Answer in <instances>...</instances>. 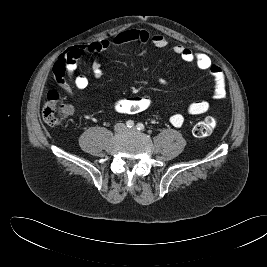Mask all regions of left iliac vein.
<instances>
[{
	"label": "left iliac vein",
	"mask_w": 267,
	"mask_h": 267,
	"mask_svg": "<svg viewBox=\"0 0 267 267\" xmlns=\"http://www.w3.org/2000/svg\"><path fill=\"white\" fill-rule=\"evenodd\" d=\"M130 130H132V131H136V128H135V127H133V128H131Z\"/></svg>",
	"instance_id": "4c4485c4"
}]
</instances>
